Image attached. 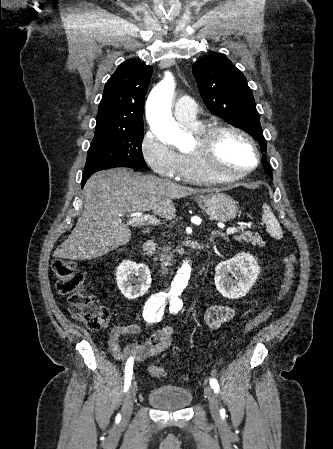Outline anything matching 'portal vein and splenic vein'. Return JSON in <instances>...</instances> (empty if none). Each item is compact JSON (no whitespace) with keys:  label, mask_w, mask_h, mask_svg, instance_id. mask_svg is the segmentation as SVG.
<instances>
[{"label":"portal vein and splenic vein","mask_w":333,"mask_h":449,"mask_svg":"<svg viewBox=\"0 0 333 449\" xmlns=\"http://www.w3.org/2000/svg\"><path fill=\"white\" fill-rule=\"evenodd\" d=\"M130 217H132L131 222L134 226L145 225V224H147V225L160 224V221L156 217H153L148 214L143 215L141 213H135V214H131ZM240 229H241V227H231V228L227 229L226 234L227 235L234 234V233L238 232Z\"/></svg>","instance_id":"1"}]
</instances>
